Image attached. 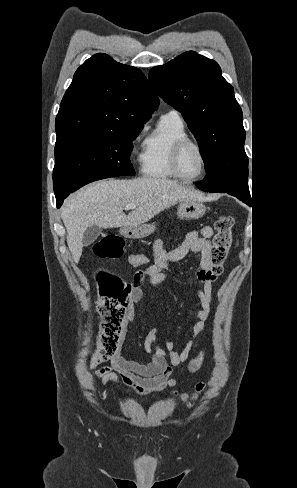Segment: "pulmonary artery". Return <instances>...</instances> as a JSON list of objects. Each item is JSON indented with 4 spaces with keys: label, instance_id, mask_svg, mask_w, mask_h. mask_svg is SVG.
Listing matches in <instances>:
<instances>
[{
    "label": "pulmonary artery",
    "instance_id": "pulmonary-artery-1",
    "mask_svg": "<svg viewBox=\"0 0 297 488\" xmlns=\"http://www.w3.org/2000/svg\"><path fill=\"white\" fill-rule=\"evenodd\" d=\"M170 113H177L176 111H171Z\"/></svg>",
    "mask_w": 297,
    "mask_h": 488
}]
</instances>
